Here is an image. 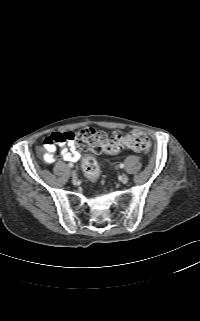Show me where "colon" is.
<instances>
[{"label": "colon", "instance_id": "obj_1", "mask_svg": "<svg viewBox=\"0 0 200 321\" xmlns=\"http://www.w3.org/2000/svg\"><path fill=\"white\" fill-rule=\"evenodd\" d=\"M74 138L81 150H90L95 154H116L122 148H128L139 153H148L151 149L148 136L137 130L116 140H111L104 132L87 127L74 134ZM82 170L89 180L94 181L99 178L98 163L90 156L83 159Z\"/></svg>", "mask_w": 200, "mask_h": 321}]
</instances>
